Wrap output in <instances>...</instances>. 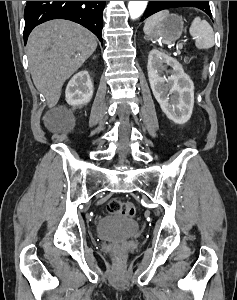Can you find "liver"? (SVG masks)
<instances>
[{"label": "liver", "instance_id": "1", "mask_svg": "<svg viewBox=\"0 0 237 300\" xmlns=\"http://www.w3.org/2000/svg\"><path fill=\"white\" fill-rule=\"evenodd\" d=\"M96 47L95 35L71 21L56 19L33 29L27 43L28 63L32 81L49 107L57 105L65 81Z\"/></svg>", "mask_w": 237, "mask_h": 300}]
</instances>
